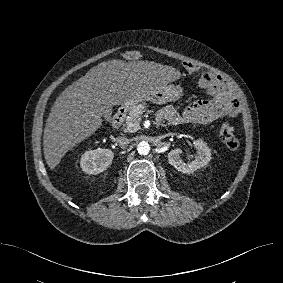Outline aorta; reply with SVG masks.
Masks as SVG:
<instances>
[{"mask_svg":"<svg viewBox=\"0 0 283 283\" xmlns=\"http://www.w3.org/2000/svg\"><path fill=\"white\" fill-rule=\"evenodd\" d=\"M138 153L141 155H147L150 151V145L146 141H141L137 146Z\"/></svg>","mask_w":283,"mask_h":283,"instance_id":"762f6f07","label":"aorta"}]
</instances>
